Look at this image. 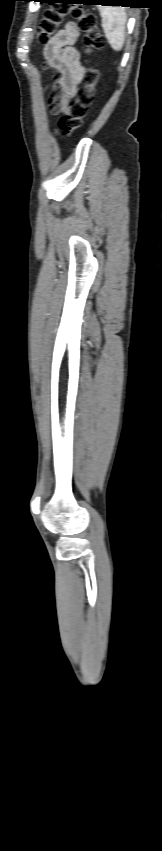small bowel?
Returning <instances> with one entry per match:
<instances>
[{"instance_id": "small-bowel-1", "label": "small bowel", "mask_w": 162, "mask_h": 851, "mask_svg": "<svg viewBox=\"0 0 162 851\" xmlns=\"http://www.w3.org/2000/svg\"><path fill=\"white\" fill-rule=\"evenodd\" d=\"M78 38L77 26L69 22L44 47L43 53L48 65L58 72L55 93L50 98V108L54 113L67 112L68 104L85 73L77 48Z\"/></svg>"}]
</instances>
